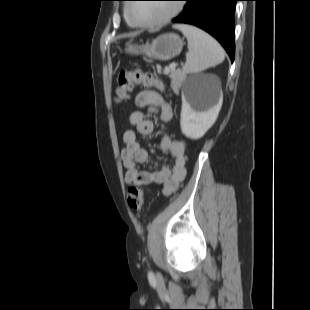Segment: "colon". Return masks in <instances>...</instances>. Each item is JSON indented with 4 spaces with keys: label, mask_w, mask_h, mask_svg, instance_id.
<instances>
[{
    "label": "colon",
    "mask_w": 310,
    "mask_h": 310,
    "mask_svg": "<svg viewBox=\"0 0 310 310\" xmlns=\"http://www.w3.org/2000/svg\"><path fill=\"white\" fill-rule=\"evenodd\" d=\"M135 86L157 88L163 90L164 86L160 78L151 71L140 68L134 70H122L115 78L114 97L118 103L126 102ZM128 204L134 211H140L144 204L143 189L137 185H131L127 192Z\"/></svg>",
    "instance_id": "5ec220e1"
}]
</instances>
